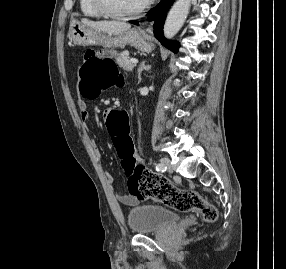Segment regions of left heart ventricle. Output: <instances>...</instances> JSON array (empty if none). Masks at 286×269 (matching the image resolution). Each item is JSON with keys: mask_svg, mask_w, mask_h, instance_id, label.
<instances>
[{"mask_svg": "<svg viewBox=\"0 0 286 269\" xmlns=\"http://www.w3.org/2000/svg\"><path fill=\"white\" fill-rule=\"evenodd\" d=\"M108 5L118 12H130L138 9L146 0H106Z\"/></svg>", "mask_w": 286, "mask_h": 269, "instance_id": "obj_1", "label": "left heart ventricle"}]
</instances>
